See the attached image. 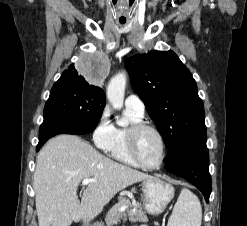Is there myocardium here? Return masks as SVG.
Returning <instances> with one entry per match:
<instances>
[{
    "label": "myocardium",
    "instance_id": "obj_1",
    "mask_svg": "<svg viewBox=\"0 0 247 226\" xmlns=\"http://www.w3.org/2000/svg\"><path fill=\"white\" fill-rule=\"evenodd\" d=\"M144 130H150L152 132H154L157 137L160 140L161 143V157L160 160L157 164L155 165H148L146 163H144L141 158L139 157L138 151H137V138L138 135L144 131ZM127 148H128V152L131 156V158L134 160V162L145 169H149V170H154V169H158L160 168L167 156V146H166V141L165 138L163 136V134L161 133V131L155 127L152 124L146 123V122H138L135 124H132L128 130H127Z\"/></svg>",
    "mask_w": 247,
    "mask_h": 226
}]
</instances>
